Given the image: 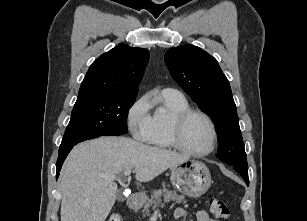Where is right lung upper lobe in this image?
Wrapping results in <instances>:
<instances>
[{"label":"right lung upper lobe","instance_id":"1","mask_svg":"<svg viewBox=\"0 0 307 221\" xmlns=\"http://www.w3.org/2000/svg\"><path fill=\"white\" fill-rule=\"evenodd\" d=\"M148 60V50L119 44L91 64L76 102L102 95L137 94Z\"/></svg>","mask_w":307,"mask_h":221}]
</instances>
